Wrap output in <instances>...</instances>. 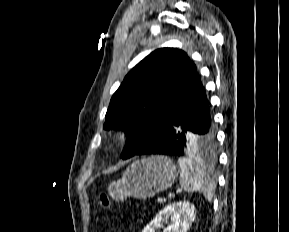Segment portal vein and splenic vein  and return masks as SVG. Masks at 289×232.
<instances>
[{
    "label": "portal vein and splenic vein",
    "mask_w": 289,
    "mask_h": 232,
    "mask_svg": "<svg viewBox=\"0 0 289 232\" xmlns=\"http://www.w3.org/2000/svg\"><path fill=\"white\" fill-rule=\"evenodd\" d=\"M177 192H179V193L182 192V189H180V188L177 189ZM162 201H163L162 197H158V198H157V202H158V203H161Z\"/></svg>",
    "instance_id": "obj_1"
}]
</instances>
